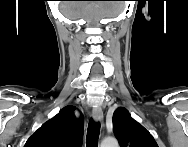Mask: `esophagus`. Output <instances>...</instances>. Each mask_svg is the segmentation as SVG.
<instances>
[{"mask_svg": "<svg viewBox=\"0 0 188 147\" xmlns=\"http://www.w3.org/2000/svg\"><path fill=\"white\" fill-rule=\"evenodd\" d=\"M92 117L94 119V121L96 122H101L103 120V111L101 109V107H95L92 110Z\"/></svg>", "mask_w": 188, "mask_h": 147, "instance_id": "esophagus-1", "label": "esophagus"}]
</instances>
